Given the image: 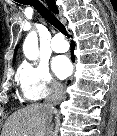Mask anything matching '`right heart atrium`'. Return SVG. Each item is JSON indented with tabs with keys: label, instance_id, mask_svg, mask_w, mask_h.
Returning <instances> with one entry per match:
<instances>
[{
	"label": "right heart atrium",
	"instance_id": "obj_1",
	"mask_svg": "<svg viewBox=\"0 0 117 136\" xmlns=\"http://www.w3.org/2000/svg\"><path fill=\"white\" fill-rule=\"evenodd\" d=\"M17 82L26 101L33 102L47 97H58L63 87L51 74L44 62L24 63L18 70Z\"/></svg>",
	"mask_w": 117,
	"mask_h": 136
}]
</instances>
